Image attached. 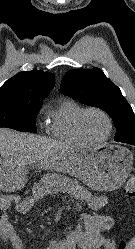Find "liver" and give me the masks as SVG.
<instances>
[{
  "label": "liver",
  "mask_w": 135,
  "mask_h": 249,
  "mask_svg": "<svg viewBox=\"0 0 135 249\" xmlns=\"http://www.w3.org/2000/svg\"><path fill=\"white\" fill-rule=\"evenodd\" d=\"M72 149V146L50 138L0 128V171L1 167L25 168L26 165L63 155Z\"/></svg>",
  "instance_id": "1"
}]
</instances>
